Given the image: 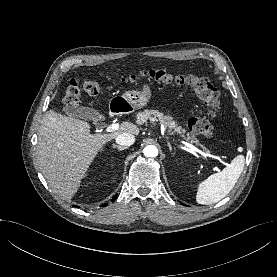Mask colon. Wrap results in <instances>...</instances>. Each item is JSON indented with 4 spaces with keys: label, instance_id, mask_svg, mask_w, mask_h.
Segmentation results:
<instances>
[{
    "label": "colon",
    "instance_id": "5ec220e1",
    "mask_svg": "<svg viewBox=\"0 0 277 277\" xmlns=\"http://www.w3.org/2000/svg\"><path fill=\"white\" fill-rule=\"evenodd\" d=\"M141 79H151L159 83L187 86L197 98L207 107L206 113L192 117L188 121L191 132L197 135L210 137L214 134L212 119H214L221 107L219 91L204 77L196 74H171L163 69H150L138 74L122 77L121 83H133ZM81 88L90 96H96L101 92V86L94 81H85L82 85L76 79H71L64 94V102L69 106L79 103Z\"/></svg>",
    "mask_w": 277,
    "mask_h": 277
}]
</instances>
